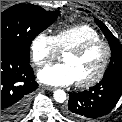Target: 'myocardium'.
I'll return each instance as SVG.
<instances>
[{
  "instance_id": "myocardium-1",
  "label": "myocardium",
  "mask_w": 122,
  "mask_h": 122,
  "mask_svg": "<svg viewBox=\"0 0 122 122\" xmlns=\"http://www.w3.org/2000/svg\"><path fill=\"white\" fill-rule=\"evenodd\" d=\"M98 45L103 46L105 49V56H104L103 63L101 65L100 69L98 70V72L92 78H90L86 81L76 82V85L79 88H89V87L96 85L98 82L101 81V79L104 77V75L109 67V64H110V60H111V56H112L111 47L107 41L99 39V40L87 41L75 48H72V49L66 51V53L72 54L74 56H81V55L85 54L88 50H90L91 48L98 46Z\"/></svg>"
}]
</instances>
